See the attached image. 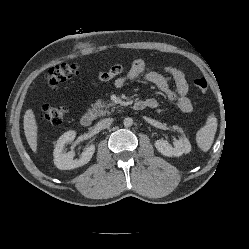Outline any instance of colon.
<instances>
[{
	"instance_id": "1",
	"label": "colon",
	"mask_w": 249,
	"mask_h": 249,
	"mask_svg": "<svg viewBox=\"0 0 249 249\" xmlns=\"http://www.w3.org/2000/svg\"><path fill=\"white\" fill-rule=\"evenodd\" d=\"M81 67L77 64H62L53 67L49 70L46 80L48 85L56 90L59 83L80 74ZM194 85L198 90L205 94L208 91V83L204 78L194 80ZM67 114V109L64 106L42 105L40 118L49 121L53 124H59L63 121Z\"/></svg>"
}]
</instances>
